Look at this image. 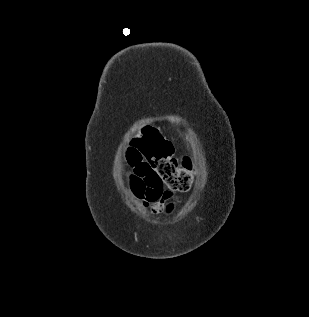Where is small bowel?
I'll return each instance as SVG.
<instances>
[{
	"label": "small bowel",
	"instance_id": "obj_1",
	"mask_svg": "<svg viewBox=\"0 0 309 317\" xmlns=\"http://www.w3.org/2000/svg\"><path fill=\"white\" fill-rule=\"evenodd\" d=\"M130 169L126 178L131 193L147 207L153 215L171 214L175 208V196L164 191L145 160L139 163L129 162Z\"/></svg>",
	"mask_w": 309,
	"mask_h": 317
}]
</instances>
